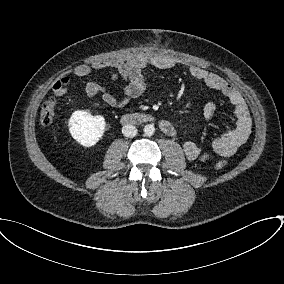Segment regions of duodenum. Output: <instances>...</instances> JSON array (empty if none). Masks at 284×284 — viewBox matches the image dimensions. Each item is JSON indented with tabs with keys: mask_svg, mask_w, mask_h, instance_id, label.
Returning a JSON list of instances; mask_svg holds the SVG:
<instances>
[{
	"mask_svg": "<svg viewBox=\"0 0 284 284\" xmlns=\"http://www.w3.org/2000/svg\"><path fill=\"white\" fill-rule=\"evenodd\" d=\"M122 123L125 125H139L145 123H157L160 130L169 136L175 134L173 124L169 120L159 119L149 113H127L122 117Z\"/></svg>",
	"mask_w": 284,
	"mask_h": 284,
	"instance_id": "obj_1",
	"label": "duodenum"
}]
</instances>
